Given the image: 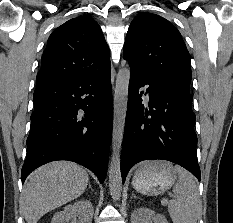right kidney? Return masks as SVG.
<instances>
[{
    "instance_id": "1",
    "label": "right kidney",
    "mask_w": 233,
    "mask_h": 223,
    "mask_svg": "<svg viewBox=\"0 0 233 223\" xmlns=\"http://www.w3.org/2000/svg\"><path fill=\"white\" fill-rule=\"evenodd\" d=\"M94 209L89 199H80L75 201L73 205H66L63 211H58L52 217L51 223H66L72 219L74 215L78 217V223H92Z\"/></svg>"
}]
</instances>
